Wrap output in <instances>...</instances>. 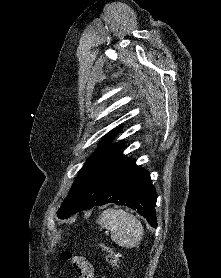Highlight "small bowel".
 Instances as JSON below:
<instances>
[{"mask_svg":"<svg viewBox=\"0 0 221 278\" xmlns=\"http://www.w3.org/2000/svg\"><path fill=\"white\" fill-rule=\"evenodd\" d=\"M86 260V259H85ZM90 265H92V263L91 262H89L88 260H86ZM92 267H93V265H92ZM94 268V267H93Z\"/></svg>","mask_w":221,"mask_h":278,"instance_id":"obj_1","label":"small bowel"}]
</instances>
